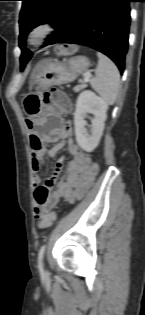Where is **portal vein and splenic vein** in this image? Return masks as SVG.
Returning a JSON list of instances; mask_svg holds the SVG:
<instances>
[{
  "instance_id": "1",
  "label": "portal vein and splenic vein",
  "mask_w": 145,
  "mask_h": 315,
  "mask_svg": "<svg viewBox=\"0 0 145 315\" xmlns=\"http://www.w3.org/2000/svg\"><path fill=\"white\" fill-rule=\"evenodd\" d=\"M90 80V75H86L85 77H84V82H88Z\"/></svg>"
}]
</instances>
